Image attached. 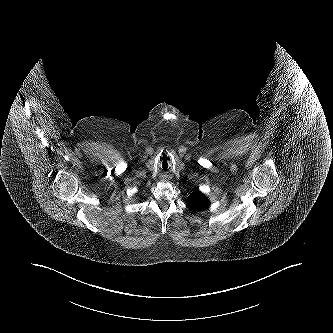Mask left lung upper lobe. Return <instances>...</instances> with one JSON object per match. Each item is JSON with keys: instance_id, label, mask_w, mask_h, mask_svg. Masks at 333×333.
<instances>
[{"instance_id": "left-lung-upper-lobe-1", "label": "left lung upper lobe", "mask_w": 333, "mask_h": 333, "mask_svg": "<svg viewBox=\"0 0 333 333\" xmlns=\"http://www.w3.org/2000/svg\"><path fill=\"white\" fill-rule=\"evenodd\" d=\"M209 204V200L199 191H195L194 193H192L187 201V207L194 212H198L208 208Z\"/></svg>"}]
</instances>
